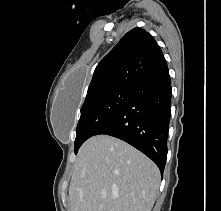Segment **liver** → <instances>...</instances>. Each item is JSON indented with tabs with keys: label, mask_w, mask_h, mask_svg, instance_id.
Returning a JSON list of instances; mask_svg holds the SVG:
<instances>
[{
	"label": "liver",
	"mask_w": 221,
	"mask_h": 211,
	"mask_svg": "<svg viewBox=\"0 0 221 211\" xmlns=\"http://www.w3.org/2000/svg\"><path fill=\"white\" fill-rule=\"evenodd\" d=\"M158 167L126 142L108 135L79 149L69 187L71 211H151Z\"/></svg>",
	"instance_id": "obj_1"
}]
</instances>
